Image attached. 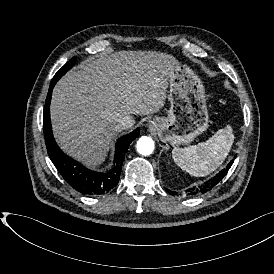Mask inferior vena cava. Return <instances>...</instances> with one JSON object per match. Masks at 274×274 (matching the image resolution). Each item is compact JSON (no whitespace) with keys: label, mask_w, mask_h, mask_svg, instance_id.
<instances>
[{"label":"inferior vena cava","mask_w":274,"mask_h":274,"mask_svg":"<svg viewBox=\"0 0 274 274\" xmlns=\"http://www.w3.org/2000/svg\"><path fill=\"white\" fill-rule=\"evenodd\" d=\"M134 124H135V120L133 116L124 115V116H121L119 119H117L115 129L116 131L127 129L132 127Z\"/></svg>","instance_id":"602c4592"}]
</instances>
